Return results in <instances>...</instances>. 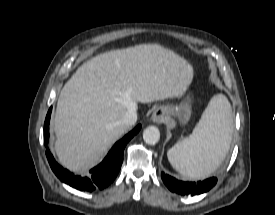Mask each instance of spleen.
Wrapping results in <instances>:
<instances>
[{
  "label": "spleen",
  "instance_id": "obj_1",
  "mask_svg": "<svg viewBox=\"0 0 275 215\" xmlns=\"http://www.w3.org/2000/svg\"><path fill=\"white\" fill-rule=\"evenodd\" d=\"M232 133L231 105L224 95H215L192 134L168 150V160L182 175L196 179L205 178L226 157Z\"/></svg>",
  "mask_w": 275,
  "mask_h": 215
}]
</instances>
